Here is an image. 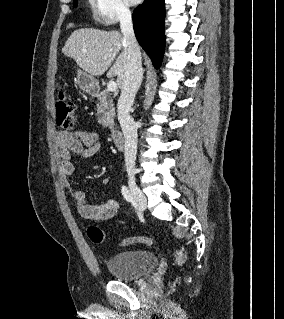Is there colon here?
<instances>
[{
  "label": "colon",
  "instance_id": "colon-1",
  "mask_svg": "<svg viewBox=\"0 0 284 319\" xmlns=\"http://www.w3.org/2000/svg\"><path fill=\"white\" fill-rule=\"evenodd\" d=\"M56 124L62 129L68 131L75 126V105L71 98L64 92H60L55 103ZM89 239L93 243H102L106 239L105 233L97 226H90L87 230ZM153 239L148 236H139L133 238H126L121 240L123 246L131 245H152ZM176 262L182 264L185 261V253L183 250L176 251Z\"/></svg>",
  "mask_w": 284,
  "mask_h": 319
}]
</instances>
